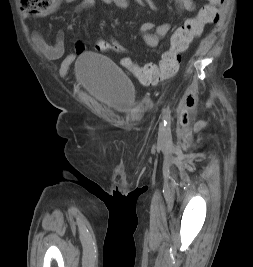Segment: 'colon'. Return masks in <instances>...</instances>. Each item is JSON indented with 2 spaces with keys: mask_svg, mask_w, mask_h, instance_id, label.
<instances>
[{
  "mask_svg": "<svg viewBox=\"0 0 253 267\" xmlns=\"http://www.w3.org/2000/svg\"><path fill=\"white\" fill-rule=\"evenodd\" d=\"M55 0H20L22 10L42 12L49 9ZM224 0H208L195 17L187 19L182 26L175 30L171 38L170 49L163 54L159 64H147L139 67L130 57H124L121 65L131 71L142 83L154 84L158 81L173 77L181 62V53L186 51L194 38L200 36L206 25L217 22L219 7ZM96 51H112L127 54L129 50L114 38H100L94 45Z\"/></svg>",
  "mask_w": 253,
  "mask_h": 267,
  "instance_id": "colon-1",
  "label": "colon"
}]
</instances>
